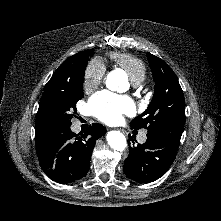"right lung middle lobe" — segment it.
I'll list each match as a JSON object with an SVG mask.
<instances>
[{
    "instance_id": "1",
    "label": "right lung middle lobe",
    "mask_w": 221,
    "mask_h": 221,
    "mask_svg": "<svg viewBox=\"0 0 221 221\" xmlns=\"http://www.w3.org/2000/svg\"><path fill=\"white\" fill-rule=\"evenodd\" d=\"M93 53L94 51L91 55ZM87 62L88 59H85L71 77L46 85L36 122L48 133L71 125V119L76 113V103L84 96L82 86Z\"/></svg>"
}]
</instances>
